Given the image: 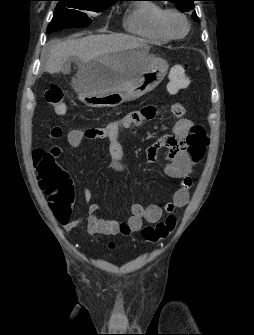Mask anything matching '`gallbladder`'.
Returning a JSON list of instances; mask_svg holds the SVG:
<instances>
[{
  "mask_svg": "<svg viewBox=\"0 0 254 335\" xmlns=\"http://www.w3.org/2000/svg\"><path fill=\"white\" fill-rule=\"evenodd\" d=\"M68 68L67 67H63L62 71H67Z\"/></svg>",
  "mask_w": 254,
  "mask_h": 335,
  "instance_id": "obj_1",
  "label": "gallbladder"
}]
</instances>
